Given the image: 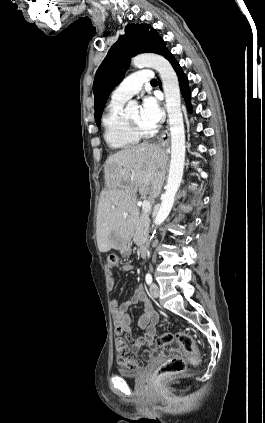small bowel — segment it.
I'll return each instance as SVG.
<instances>
[{
  "mask_svg": "<svg viewBox=\"0 0 265 423\" xmlns=\"http://www.w3.org/2000/svg\"><path fill=\"white\" fill-rule=\"evenodd\" d=\"M112 266L107 268V282L110 290L114 289V280L112 277L111 269ZM122 268L125 271H130L132 266L129 264H123ZM138 302L143 305V314L141 315L138 325L144 330L143 335L132 338V325L130 316L127 314V310L137 304ZM111 306L113 308V322L117 334H125L128 341L122 338L116 340L117 348L121 343H124L126 348L132 353H138L142 351L144 359L151 358L155 353L154 338L156 335V324L158 322V313L154 310L151 302L145 292L142 289H137L134 295L122 303L119 304L118 300L113 298L111 300ZM120 363L123 364V360L120 359Z\"/></svg>",
  "mask_w": 265,
  "mask_h": 423,
  "instance_id": "obj_1",
  "label": "small bowel"
}]
</instances>
